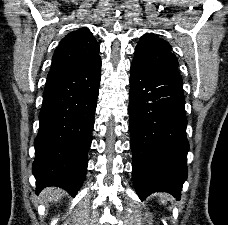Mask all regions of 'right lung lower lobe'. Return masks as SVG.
<instances>
[{
	"label": "right lung lower lobe",
	"instance_id": "98d812e1",
	"mask_svg": "<svg viewBox=\"0 0 228 225\" xmlns=\"http://www.w3.org/2000/svg\"><path fill=\"white\" fill-rule=\"evenodd\" d=\"M101 58L48 74L35 139L36 193L59 186L75 196L85 180Z\"/></svg>",
	"mask_w": 228,
	"mask_h": 225
}]
</instances>
